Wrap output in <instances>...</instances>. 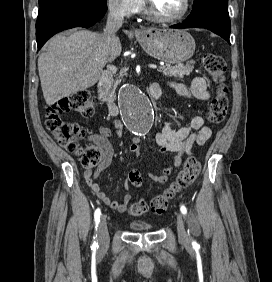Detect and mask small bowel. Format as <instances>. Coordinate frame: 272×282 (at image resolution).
I'll use <instances>...</instances> for the list:
<instances>
[{"mask_svg": "<svg viewBox=\"0 0 272 282\" xmlns=\"http://www.w3.org/2000/svg\"><path fill=\"white\" fill-rule=\"evenodd\" d=\"M169 85L178 95L183 97L207 100L210 96L206 80L202 77H195L188 86L177 82H171ZM114 127V134L107 126H103L101 127L99 134H94L89 137V140L93 145H97L101 148L104 156L96 170H86L84 172V178L98 199L112 209L122 213L126 211L131 200V195L125 194L120 201H117L109 197L103 191V188L95 182L101 172L104 171L112 161L114 154L113 138L120 139L125 134L124 126L120 121H116ZM196 130H198V133L195 132ZM210 135L211 129L204 126V120L199 115L194 116L188 126L178 130L172 129L169 123H164L161 129L154 135V142L162 153H172L173 161L172 165L165 168L162 174L157 175L155 173H150V179L158 184L165 183L168 180L173 167L180 166L183 156L190 154L192 145H204ZM141 140V137H134L129 145V151L138 155ZM124 186L125 188H128L127 183H125Z\"/></svg>", "mask_w": 272, "mask_h": 282, "instance_id": "1", "label": "small bowel"}]
</instances>
